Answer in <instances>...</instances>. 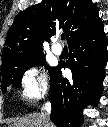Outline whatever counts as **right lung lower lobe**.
<instances>
[{"label":"right lung lower lobe","instance_id":"98d812e1","mask_svg":"<svg viewBox=\"0 0 108 127\" xmlns=\"http://www.w3.org/2000/svg\"><path fill=\"white\" fill-rule=\"evenodd\" d=\"M68 43L71 56L66 67L72 71V80L62 77L61 69L65 65L54 67L50 74L51 121L57 127H79L83 109L89 104L97 105L107 63V38L100 18Z\"/></svg>","mask_w":108,"mask_h":127}]
</instances>
